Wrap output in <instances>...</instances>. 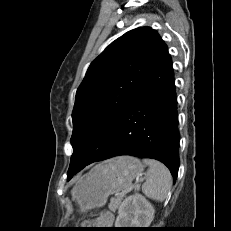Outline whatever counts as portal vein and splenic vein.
I'll return each instance as SVG.
<instances>
[{"mask_svg":"<svg viewBox=\"0 0 231 231\" xmlns=\"http://www.w3.org/2000/svg\"><path fill=\"white\" fill-rule=\"evenodd\" d=\"M141 181H143V180H141ZM134 188H135L134 185H130L124 192H122V193L120 194V196H124V195L130 193Z\"/></svg>","mask_w":231,"mask_h":231,"instance_id":"portal-vein-and-splenic-vein-1","label":"portal vein and splenic vein"}]
</instances>
